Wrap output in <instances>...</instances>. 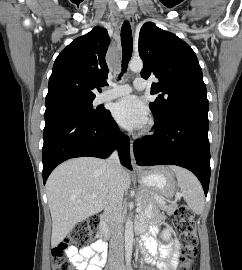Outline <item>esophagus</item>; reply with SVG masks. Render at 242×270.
Masks as SVG:
<instances>
[{
	"instance_id": "1",
	"label": "esophagus",
	"mask_w": 242,
	"mask_h": 270,
	"mask_svg": "<svg viewBox=\"0 0 242 270\" xmlns=\"http://www.w3.org/2000/svg\"><path fill=\"white\" fill-rule=\"evenodd\" d=\"M124 16H125V19L130 23V25L133 26L134 25V17L132 15V13L130 12V10H125ZM130 151H131V164H132L133 168H137L135 157L133 154V141L132 140L130 141Z\"/></svg>"
}]
</instances>
